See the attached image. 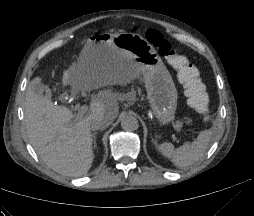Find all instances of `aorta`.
Here are the masks:
<instances>
[{
	"label": "aorta",
	"mask_w": 254,
	"mask_h": 216,
	"mask_svg": "<svg viewBox=\"0 0 254 216\" xmlns=\"http://www.w3.org/2000/svg\"><path fill=\"white\" fill-rule=\"evenodd\" d=\"M121 127L125 131L133 132L139 128L138 119L134 115H125L121 120Z\"/></svg>",
	"instance_id": "762f6f07"
}]
</instances>
